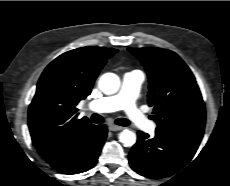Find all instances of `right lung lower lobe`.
<instances>
[{
	"label": "right lung lower lobe",
	"instance_id": "98d812e1",
	"mask_svg": "<svg viewBox=\"0 0 230 186\" xmlns=\"http://www.w3.org/2000/svg\"><path fill=\"white\" fill-rule=\"evenodd\" d=\"M107 136L105 125H90L63 144L49 157H43L54 169L64 174L85 172L97 163Z\"/></svg>",
	"mask_w": 230,
	"mask_h": 186
}]
</instances>
